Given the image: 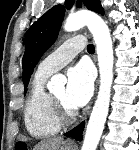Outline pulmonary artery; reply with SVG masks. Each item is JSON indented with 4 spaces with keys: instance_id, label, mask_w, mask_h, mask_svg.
<instances>
[{
    "instance_id": "pulmonary-artery-1",
    "label": "pulmonary artery",
    "mask_w": 139,
    "mask_h": 150,
    "mask_svg": "<svg viewBox=\"0 0 139 150\" xmlns=\"http://www.w3.org/2000/svg\"><path fill=\"white\" fill-rule=\"evenodd\" d=\"M85 47L86 42L83 36L70 38L39 64L36 74L51 75L67 65Z\"/></svg>"
}]
</instances>
